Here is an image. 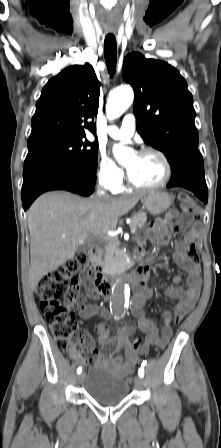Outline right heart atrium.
I'll return each mask as SVG.
<instances>
[{
  "label": "right heart atrium",
  "instance_id": "obj_1",
  "mask_svg": "<svg viewBox=\"0 0 221 448\" xmlns=\"http://www.w3.org/2000/svg\"><path fill=\"white\" fill-rule=\"evenodd\" d=\"M96 173L99 184L111 191L120 188L124 178L123 171L104 154L98 157Z\"/></svg>",
  "mask_w": 221,
  "mask_h": 448
}]
</instances>
